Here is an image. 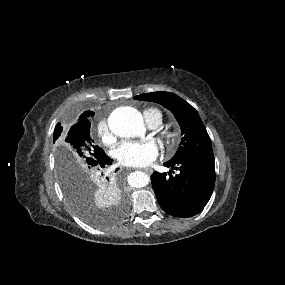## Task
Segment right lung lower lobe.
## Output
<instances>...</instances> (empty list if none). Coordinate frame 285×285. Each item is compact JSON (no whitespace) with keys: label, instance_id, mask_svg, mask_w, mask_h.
I'll use <instances>...</instances> for the list:
<instances>
[{"label":"right lung lower lobe","instance_id":"right-lung-lower-lobe-1","mask_svg":"<svg viewBox=\"0 0 285 285\" xmlns=\"http://www.w3.org/2000/svg\"><path fill=\"white\" fill-rule=\"evenodd\" d=\"M112 164V159L106 156V154L99 160V166L102 170L108 168ZM109 181V178H107ZM111 187L107 190L111 193H117L116 187L114 188L113 182H110Z\"/></svg>","mask_w":285,"mask_h":285}]
</instances>
